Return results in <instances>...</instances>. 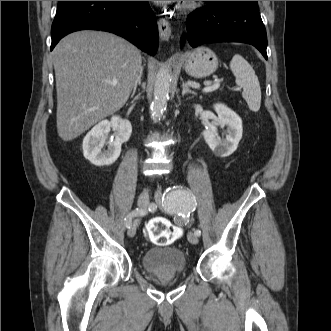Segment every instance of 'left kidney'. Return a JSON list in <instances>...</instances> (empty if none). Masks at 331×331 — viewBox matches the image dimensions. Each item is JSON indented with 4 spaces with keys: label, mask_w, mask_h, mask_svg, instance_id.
<instances>
[{
    "label": "left kidney",
    "mask_w": 331,
    "mask_h": 331,
    "mask_svg": "<svg viewBox=\"0 0 331 331\" xmlns=\"http://www.w3.org/2000/svg\"><path fill=\"white\" fill-rule=\"evenodd\" d=\"M214 110L218 114V118L204 130L203 136L216 156L227 157L237 149L242 138V120L224 104H215ZM218 126L221 128L227 127L225 139H221L218 136Z\"/></svg>",
    "instance_id": "1"
}]
</instances>
